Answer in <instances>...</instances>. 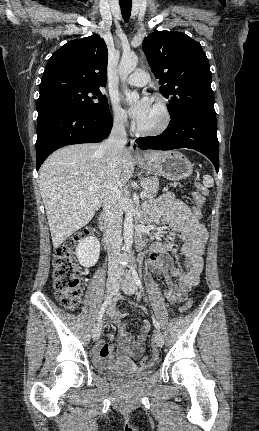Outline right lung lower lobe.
I'll use <instances>...</instances> for the list:
<instances>
[{
  "mask_svg": "<svg viewBox=\"0 0 259 431\" xmlns=\"http://www.w3.org/2000/svg\"><path fill=\"white\" fill-rule=\"evenodd\" d=\"M112 123L109 111L94 113L69 106L54 107L38 114L36 169L63 146L106 139Z\"/></svg>",
  "mask_w": 259,
  "mask_h": 431,
  "instance_id": "obj_1",
  "label": "right lung lower lobe"
}]
</instances>
